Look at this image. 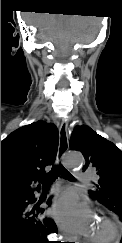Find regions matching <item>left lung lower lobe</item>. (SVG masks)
I'll list each match as a JSON object with an SVG mask.
<instances>
[{"mask_svg": "<svg viewBox=\"0 0 122 243\" xmlns=\"http://www.w3.org/2000/svg\"><path fill=\"white\" fill-rule=\"evenodd\" d=\"M117 193L122 195V190H118ZM120 243H122V239H121Z\"/></svg>", "mask_w": 122, "mask_h": 243, "instance_id": "left-lung-lower-lobe-1", "label": "left lung lower lobe"}]
</instances>
